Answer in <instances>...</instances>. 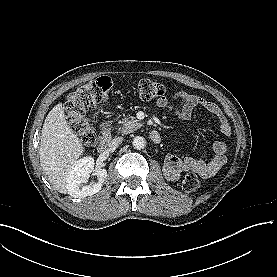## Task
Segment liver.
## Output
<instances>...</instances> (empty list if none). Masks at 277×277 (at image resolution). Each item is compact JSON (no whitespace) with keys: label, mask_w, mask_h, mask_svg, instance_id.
Masks as SVG:
<instances>
[{"label":"liver","mask_w":277,"mask_h":277,"mask_svg":"<svg viewBox=\"0 0 277 277\" xmlns=\"http://www.w3.org/2000/svg\"><path fill=\"white\" fill-rule=\"evenodd\" d=\"M84 151L81 139L65 119L62 103H58L44 121L39 147L40 165L55 190L77 196L67 175Z\"/></svg>","instance_id":"6515ba94"}]
</instances>
